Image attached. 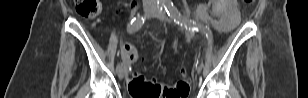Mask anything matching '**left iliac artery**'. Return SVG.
I'll list each match as a JSON object with an SVG mask.
<instances>
[{"label":"left iliac artery","instance_id":"obj_1","mask_svg":"<svg viewBox=\"0 0 308 98\" xmlns=\"http://www.w3.org/2000/svg\"><path fill=\"white\" fill-rule=\"evenodd\" d=\"M165 10L170 18L174 20L175 23L178 25L184 26L186 28H189V30L192 31H201V33L204 36H207V41L209 42L207 44L208 48L212 47V42L214 41V38L211 35L212 25L211 24H195L192 22L191 19H188L181 15V13L178 11V9L175 7V5L172 2H166L165 4ZM209 51V50H207ZM208 54V53H206ZM198 62V61H197Z\"/></svg>","mask_w":308,"mask_h":98}]
</instances>
